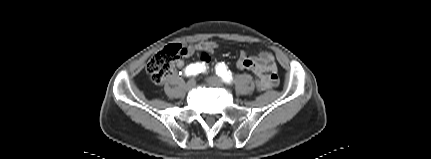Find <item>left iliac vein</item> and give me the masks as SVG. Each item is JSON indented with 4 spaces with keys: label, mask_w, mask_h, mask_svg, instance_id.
<instances>
[{
    "label": "left iliac vein",
    "mask_w": 431,
    "mask_h": 159,
    "mask_svg": "<svg viewBox=\"0 0 431 159\" xmlns=\"http://www.w3.org/2000/svg\"><path fill=\"white\" fill-rule=\"evenodd\" d=\"M207 83L213 86H223V81L217 76H211L206 79Z\"/></svg>",
    "instance_id": "4c4485c4"
}]
</instances>
